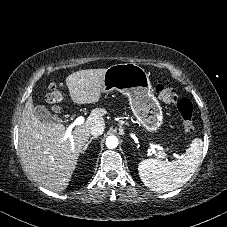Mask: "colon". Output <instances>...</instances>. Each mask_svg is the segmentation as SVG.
Instances as JSON below:
<instances>
[{
    "instance_id": "colon-1",
    "label": "colon",
    "mask_w": 227,
    "mask_h": 227,
    "mask_svg": "<svg viewBox=\"0 0 227 227\" xmlns=\"http://www.w3.org/2000/svg\"><path fill=\"white\" fill-rule=\"evenodd\" d=\"M155 92L159 98L167 104L177 103V111L180 116L183 128L186 131L193 130V106L187 99H178L177 90L172 85L157 84ZM63 99V92L59 85H53L49 88L47 100L53 107H58Z\"/></svg>"
}]
</instances>
